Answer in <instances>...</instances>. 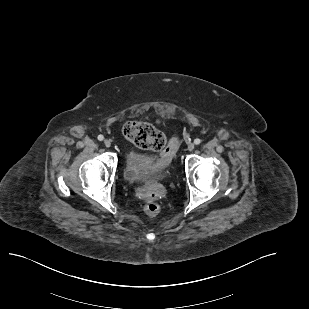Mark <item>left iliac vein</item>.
Listing matches in <instances>:
<instances>
[{
    "mask_svg": "<svg viewBox=\"0 0 309 309\" xmlns=\"http://www.w3.org/2000/svg\"><path fill=\"white\" fill-rule=\"evenodd\" d=\"M187 148H188L189 151H193L194 148H195V145L193 143H189Z\"/></svg>",
    "mask_w": 309,
    "mask_h": 309,
    "instance_id": "1",
    "label": "left iliac vein"
}]
</instances>
